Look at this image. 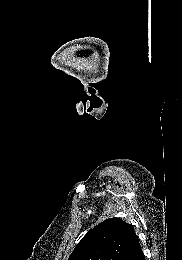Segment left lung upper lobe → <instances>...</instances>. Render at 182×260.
<instances>
[{
  "label": "left lung upper lobe",
  "mask_w": 182,
  "mask_h": 260,
  "mask_svg": "<svg viewBox=\"0 0 182 260\" xmlns=\"http://www.w3.org/2000/svg\"><path fill=\"white\" fill-rule=\"evenodd\" d=\"M137 239L133 225L109 218L87 232L68 260H122Z\"/></svg>",
  "instance_id": "5c2ea615"
}]
</instances>
